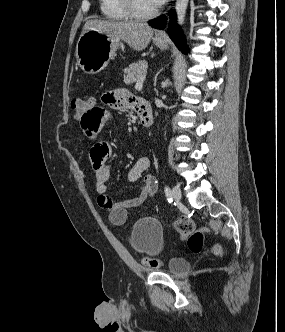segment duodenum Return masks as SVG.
<instances>
[{
	"label": "duodenum",
	"mask_w": 285,
	"mask_h": 332,
	"mask_svg": "<svg viewBox=\"0 0 285 332\" xmlns=\"http://www.w3.org/2000/svg\"><path fill=\"white\" fill-rule=\"evenodd\" d=\"M137 108L140 123L146 128H150L153 124L152 108L148 101L137 99Z\"/></svg>",
	"instance_id": "obj_1"
}]
</instances>
